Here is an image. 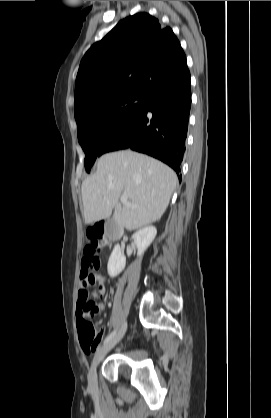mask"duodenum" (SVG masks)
<instances>
[{
    "label": "duodenum",
    "instance_id": "410a0bca",
    "mask_svg": "<svg viewBox=\"0 0 271 418\" xmlns=\"http://www.w3.org/2000/svg\"><path fill=\"white\" fill-rule=\"evenodd\" d=\"M117 237H118V235H114V236H113V238H114V239H115V238H117Z\"/></svg>",
    "mask_w": 271,
    "mask_h": 418
}]
</instances>
